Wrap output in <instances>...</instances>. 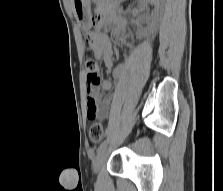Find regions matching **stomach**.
<instances>
[{"label":"stomach","mask_w":223,"mask_h":191,"mask_svg":"<svg viewBox=\"0 0 223 191\" xmlns=\"http://www.w3.org/2000/svg\"><path fill=\"white\" fill-rule=\"evenodd\" d=\"M74 15L80 27L88 30L91 27V0H72Z\"/></svg>","instance_id":"stomach-1"}]
</instances>
